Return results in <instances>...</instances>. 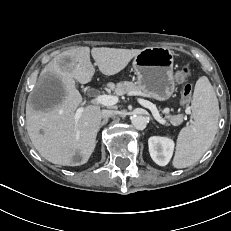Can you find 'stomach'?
Instances as JSON below:
<instances>
[{
  "label": "stomach",
  "mask_w": 231,
  "mask_h": 231,
  "mask_svg": "<svg viewBox=\"0 0 231 231\" xmlns=\"http://www.w3.org/2000/svg\"><path fill=\"white\" fill-rule=\"evenodd\" d=\"M173 62V51L164 47H148L135 56L133 67L141 91L159 101L169 99L175 91Z\"/></svg>",
  "instance_id": "1"
}]
</instances>
